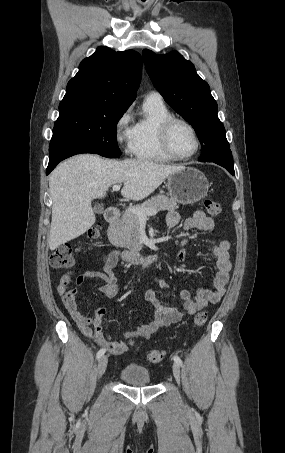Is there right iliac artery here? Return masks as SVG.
I'll return each instance as SVG.
<instances>
[{
  "label": "right iliac artery",
  "instance_id": "right-iliac-artery-1",
  "mask_svg": "<svg viewBox=\"0 0 285 453\" xmlns=\"http://www.w3.org/2000/svg\"><path fill=\"white\" fill-rule=\"evenodd\" d=\"M105 349H100L98 352H97V359H99L102 355H104L105 353Z\"/></svg>",
  "mask_w": 285,
  "mask_h": 453
}]
</instances>
